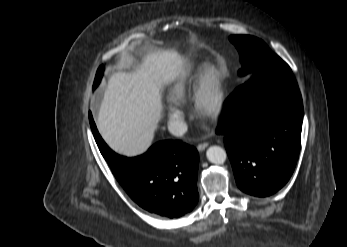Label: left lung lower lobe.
Returning <instances> with one entry per match:
<instances>
[{"label": "left lung lower lobe", "instance_id": "obj_1", "mask_svg": "<svg viewBox=\"0 0 347 247\" xmlns=\"http://www.w3.org/2000/svg\"><path fill=\"white\" fill-rule=\"evenodd\" d=\"M302 119L298 85L282 60L254 69L252 80L226 99L216 133L224 135L242 191L265 197L288 182L299 155Z\"/></svg>", "mask_w": 347, "mask_h": 247}]
</instances>
